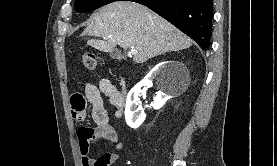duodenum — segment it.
I'll list each match as a JSON object with an SVG mask.
<instances>
[{
    "label": "duodenum",
    "instance_id": "410a0bca",
    "mask_svg": "<svg viewBox=\"0 0 277 166\" xmlns=\"http://www.w3.org/2000/svg\"><path fill=\"white\" fill-rule=\"evenodd\" d=\"M125 96H126V88H125V83L122 81V91L120 92V98H121V102H122V108L124 106Z\"/></svg>",
    "mask_w": 277,
    "mask_h": 166
}]
</instances>
